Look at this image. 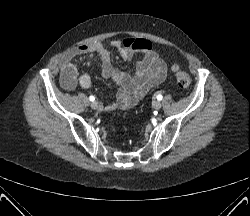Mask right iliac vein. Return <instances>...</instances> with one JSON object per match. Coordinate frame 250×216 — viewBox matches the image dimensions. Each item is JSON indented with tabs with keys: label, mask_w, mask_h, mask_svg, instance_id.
<instances>
[{
	"label": "right iliac vein",
	"mask_w": 250,
	"mask_h": 216,
	"mask_svg": "<svg viewBox=\"0 0 250 216\" xmlns=\"http://www.w3.org/2000/svg\"><path fill=\"white\" fill-rule=\"evenodd\" d=\"M98 106H99V104H98L97 101H93V102L91 103V108H93V109H97Z\"/></svg>",
	"instance_id": "right-iliac-vein-1"
}]
</instances>
